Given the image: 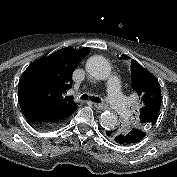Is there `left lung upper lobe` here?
Here are the masks:
<instances>
[{"mask_svg":"<svg viewBox=\"0 0 177 177\" xmlns=\"http://www.w3.org/2000/svg\"><path fill=\"white\" fill-rule=\"evenodd\" d=\"M133 88L139 96L140 109L132 125L148 132L156 123L161 106V90L158 80L138 62L131 63ZM127 128H118L117 132H124Z\"/></svg>","mask_w":177,"mask_h":177,"instance_id":"1","label":"left lung upper lobe"}]
</instances>
